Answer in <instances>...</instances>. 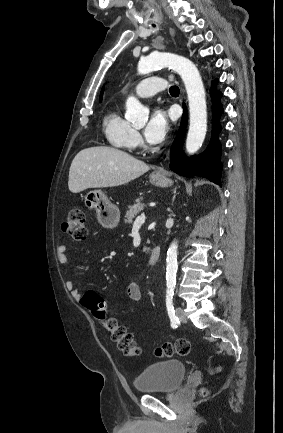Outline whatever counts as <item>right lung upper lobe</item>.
I'll return each instance as SVG.
<instances>
[{
    "instance_id": "obj_1",
    "label": "right lung upper lobe",
    "mask_w": 283,
    "mask_h": 433,
    "mask_svg": "<svg viewBox=\"0 0 283 433\" xmlns=\"http://www.w3.org/2000/svg\"><path fill=\"white\" fill-rule=\"evenodd\" d=\"M102 95H103V89H102L101 94H100V102L102 100Z\"/></svg>"
}]
</instances>
